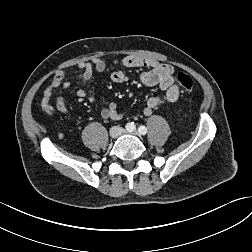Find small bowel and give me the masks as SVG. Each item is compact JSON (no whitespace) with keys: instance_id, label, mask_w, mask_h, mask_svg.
<instances>
[{"instance_id":"1","label":"small bowel","mask_w":252,"mask_h":252,"mask_svg":"<svg viewBox=\"0 0 252 252\" xmlns=\"http://www.w3.org/2000/svg\"><path fill=\"white\" fill-rule=\"evenodd\" d=\"M114 65L117 68L110 75V79L114 83H124L128 81V75L125 69L128 68H140L145 69L140 75V80L146 86H157L164 92V96H151L145 106L143 107V114L149 116L153 113L154 109L160 106L162 103L176 102L180 96L179 86L175 83L173 73L174 68L170 64L161 63L156 60L126 56L121 60H115ZM107 63L102 58H93L90 62H80L78 67L82 69V72L78 74L77 78L81 82V87L77 91L78 97L86 99L88 102L94 105V108L99 112L100 116L104 119L119 120L122 118V113L118 110L117 104L111 102L104 108H98L95 106V100L87 93V86L91 81L94 71L99 73L105 71ZM68 75L64 72H58L53 80L47 85L43 93L42 107L49 113L60 112L63 114H69V109L62 97H56L55 105L51 104V100L54 91L62 87L67 89L70 86V82L67 80Z\"/></svg>"}]
</instances>
